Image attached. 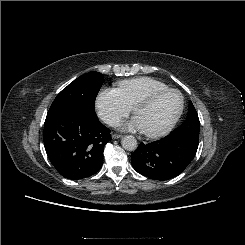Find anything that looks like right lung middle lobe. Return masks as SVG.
<instances>
[{"instance_id":"obj_1","label":"right lung middle lobe","mask_w":245,"mask_h":245,"mask_svg":"<svg viewBox=\"0 0 245 245\" xmlns=\"http://www.w3.org/2000/svg\"><path fill=\"white\" fill-rule=\"evenodd\" d=\"M104 82L103 75L91 71L75 79L53 101L48 113L72 110L96 116L95 99Z\"/></svg>"}]
</instances>
